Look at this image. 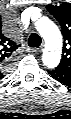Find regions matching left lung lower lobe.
Here are the masks:
<instances>
[{"label": "left lung lower lobe", "mask_w": 71, "mask_h": 119, "mask_svg": "<svg viewBox=\"0 0 71 119\" xmlns=\"http://www.w3.org/2000/svg\"><path fill=\"white\" fill-rule=\"evenodd\" d=\"M48 73L60 83L71 85V71L56 67L53 70H48Z\"/></svg>", "instance_id": "1"}]
</instances>
